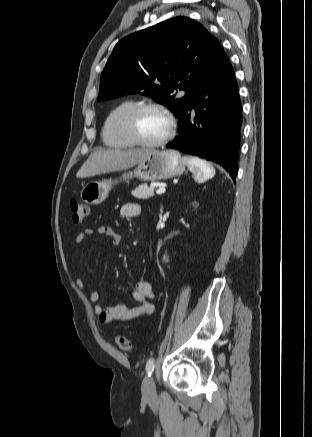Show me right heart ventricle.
I'll use <instances>...</instances> for the list:
<instances>
[{"label":"right heart ventricle","mask_w":312,"mask_h":437,"mask_svg":"<svg viewBox=\"0 0 312 437\" xmlns=\"http://www.w3.org/2000/svg\"><path fill=\"white\" fill-rule=\"evenodd\" d=\"M136 103L131 99L119 102L107 114L103 127L102 139L104 143L114 148H129L135 146L126 129V116Z\"/></svg>","instance_id":"obj_1"}]
</instances>
